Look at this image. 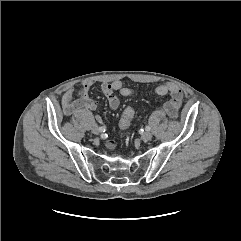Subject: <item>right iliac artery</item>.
I'll use <instances>...</instances> for the list:
<instances>
[{"instance_id":"obj_1","label":"right iliac artery","mask_w":241,"mask_h":241,"mask_svg":"<svg viewBox=\"0 0 241 241\" xmlns=\"http://www.w3.org/2000/svg\"><path fill=\"white\" fill-rule=\"evenodd\" d=\"M99 129H100L101 132H105L106 131V127L105 126H101V127H99Z\"/></svg>"}]
</instances>
